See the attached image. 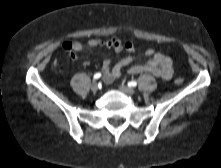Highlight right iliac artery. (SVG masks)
<instances>
[{
  "mask_svg": "<svg viewBox=\"0 0 221 168\" xmlns=\"http://www.w3.org/2000/svg\"><path fill=\"white\" fill-rule=\"evenodd\" d=\"M101 77V74L100 73H96L95 75H94V80H96V79H99Z\"/></svg>",
  "mask_w": 221,
  "mask_h": 168,
  "instance_id": "1",
  "label": "right iliac artery"
}]
</instances>
